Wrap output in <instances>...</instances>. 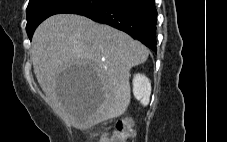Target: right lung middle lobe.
I'll return each mask as SVG.
<instances>
[{
    "mask_svg": "<svg viewBox=\"0 0 227 142\" xmlns=\"http://www.w3.org/2000/svg\"><path fill=\"white\" fill-rule=\"evenodd\" d=\"M108 0H30L27 12L26 30L31 40L37 26L46 18L61 13L79 14L81 11L93 9Z\"/></svg>",
    "mask_w": 227,
    "mask_h": 142,
    "instance_id": "dd1d6c3e",
    "label": "right lung middle lobe"
}]
</instances>
